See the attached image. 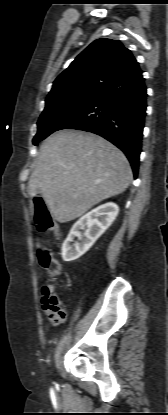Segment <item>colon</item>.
<instances>
[{"label": "colon", "mask_w": 168, "mask_h": 415, "mask_svg": "<svg viewBox=\"0 0 168 415\" xmlns=\"http://www.w3.org/2000/svg\"><path fill=\"white\" fill-rule=\"evenodd\" d=\"M34 221L40 233H53L56 237L60 236L59 227L53 222L50 212L45 203L38 199L35 201ZM38 260L41 267L52 279L58 278L62 273V268L58 260L47 249L41 248L38 251ZM53 288L52 285H49Z\"/></svg>", "instance_id": "obj_1"}]
</instances>
